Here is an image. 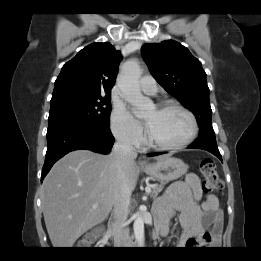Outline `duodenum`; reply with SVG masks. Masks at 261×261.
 <instances>
[{
	"label": "duodenum",
	"instance_id": "duodenum-1",
	"mask_svg": "<svg viewBox=\"0 0 261 261\" xmlns=\"http://www.w3.org/2000/svg\"><path fill=\"white\" fill-rule=\"evenodd\" d=\"M163 231L160 230V229H156L153 231V235L156 236L158 235L159 233H162ZM117 235V230L115 227H111V230L110 231H107V232H104L101 234V236H104V237H108L110 239H113L115 238V236Z\"/></svg>",
	"mask_w": 261,
	"mask_h": 261
}]
</instances>
